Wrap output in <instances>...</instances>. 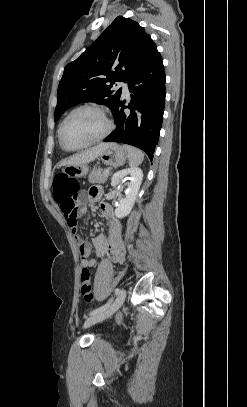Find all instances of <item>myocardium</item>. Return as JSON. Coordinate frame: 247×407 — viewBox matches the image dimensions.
Returning <instances> with one entry per match:
<instances>
[{"label":"myocardium","mask_w":247,"mask_h":407,"mask_svg":"<svg viewBox=\"0 0 247 407\" xmlns=\"http://www.w3.org/2000/svg\"><path fill=\"white\" fill-rule=\"evenodd\" d=\"M81 110H91V111H94V112L98 113V114L103 118L106 127H105V130L102 132V134L99 135L97 138H95V139L89 141L88 143H86V144H84V145H81V146H79V147L69 148V147L65 146L64 143H63V140H62V130H63L64 124L66 123V121H67L73 114H75L76 112L81 111ZM112 130H113V122H112V120L110 119L108 113L106 112V110H105L104 108H102V107H100V106H97V105L85 104V105H80V106H78V107L72 109V110L64 117V119L62 120V122H61L60 125H59L58 133H57V134H58V141H59V144H60L61 148H62L63 150H65V151H68V152H74V151H79V150L85 149V148H87V147H89V146H92V145H94V144H96V143H98V142L104 140V139L112 132Z\"/></svg>","instance_id":"myocardium-1"}]
</instances>
